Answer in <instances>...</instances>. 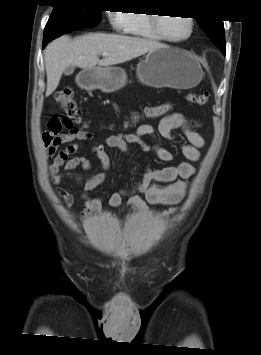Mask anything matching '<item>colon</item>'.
Instances as JSON below:
<instances>
[{
  "instance_id": "1",
  "label": "colon",
  "mask_w": 261,
  "mask_h": 355,
  "mask_svg": "<svg viewBox=\"0 0 261 355\" xmlns=\"http://www.w3.org/2000/svg\"><path fill=\"white\" fill-rule=\"evenodd\" d=\"M55 100L59 103L61 110L65 116L64 120H59L53 118L49 121L48 127L53 131H59L61 129V123L64 122L65 125L80 124L82 122L81 112L74 99L73 90L70 87H64L58 90L55 95ZM190 101L197 105L203 106L208 103L209 94L207 92L191 94L189 97ZM168 110L166 105H158L148 107L145 110L146 115L149 117H157L165 114Z\"/></svg>"
}]
</instances>
